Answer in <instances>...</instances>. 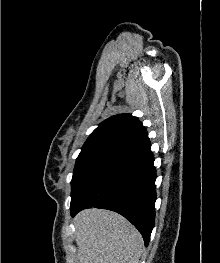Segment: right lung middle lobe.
Here are the masks:
<instances>
[{
    "label": "right lung middle lobe",
    "instance_id": "dd1d6c3e",
    "mask_svg": "<svg viewBox=\"0 0 220 263\" xmlns=\"http://www.w3.org/2000/svg\"><path fill=\"white\" fill-rule=\"evenodd\" d=\"M116 154L117 152L109 150L81 151L71 181V203L76 202L91 179Z\"/></svg>",
    "mask_w": 220,
    "mask_h": 263
}]
</instances>
